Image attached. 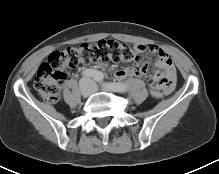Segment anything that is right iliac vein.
I'll use <instances>...</instances> for the list:
<instances>
[{
    "label": "right iliac vein",
    "instance_id": "right-iliac-vein-1",
    "mask_svg": "<svg viewBox=\"0 0 219 174\" xmlns=\"http://www.w3.org/2000/svg\"><path fill=\"white\" fill-rule=\"evenodd\" d=\"M91 89L90 87L87 85V84H83L81 86V95L84 97V98H87L91 95Z\"/></svg>",
    "mask_w": 219,
    "mask_h": 174
}]
</instances>
